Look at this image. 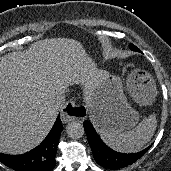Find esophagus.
Wrapping results in <instances>:
<instances>
[{"label":"esophagus","mask_w":171,"mask_h":171,"mask_svg":"<svg viewBox=\"0 0 171 171\" xmlns=\"http://www.w3.org/2000/svg\"><path fill=\"white\" fill-rule=\"evenodd\" d=\"M66 109H67V112L66 113H63V120L64 121H70L72 120L73 118H75V113H76V110H75V104L74 102H68L66 104Z\"/></svg>","instance_id":"esophagus-1"}]
</instances>
